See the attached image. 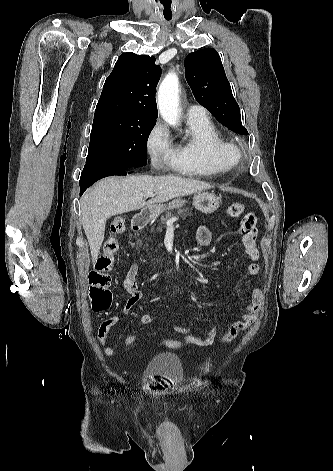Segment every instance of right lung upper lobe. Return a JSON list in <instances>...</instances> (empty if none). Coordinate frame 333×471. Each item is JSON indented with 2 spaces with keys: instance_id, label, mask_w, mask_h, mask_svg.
<instances>
[{
  "instance_id": "1",
  "label": "right lung upper lobe",
  "mask_w": 333,
  "mask_h": 471,
  "mask_svg": "<svg viewBox=\"0 0 333 471\" xmlns=\"http://www.w3.org/2000/svg\"><path fill=\"white\" fill-rule=\"evenodd\" d=\"M161 68L155 58L123 53L108 76L94 117L120 115L143 120L158 116L155 89Z\"/></svg>"
}]
</instances>
